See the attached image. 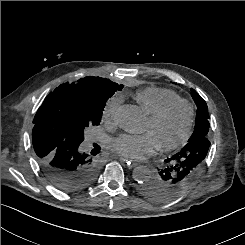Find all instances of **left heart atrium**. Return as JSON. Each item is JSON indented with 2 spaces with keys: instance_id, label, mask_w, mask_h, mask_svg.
I'll return each mask as SVG.
<instances>
[{
  "instance_id": "39dd6f15",
  "label": "left heart atrium",
  "mask_w": 245,
  "mask_h": 245,
  "mask_svg": "<svg viewBox=\"0 0 245 245\" xmlns=\"http://www.w3.org/2000/svg\"><path fill=\"white\" fill-rule=\"evenodd\" d=\"M113 145L117 153L131 160H143L152 155L156 148V144L147 133L123 134L114 140Z\"/></svg>"
}]
</instances>
